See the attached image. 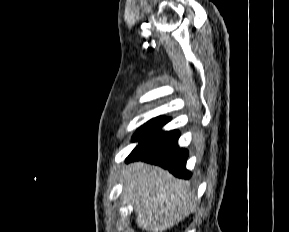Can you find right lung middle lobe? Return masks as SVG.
Listing matches in <instances>:
<instances>
[{
  "label": "right lung middle lobe",
  "instance_id": "right-lung-middle-lobe-1",
  "mask_svg": "<svg viewBox=\"0 0 289 232\" xmlns=\"http://www.w3.org/2000/svg\"><path fill=\"white\" fill-rule=\"evenodd\" d=\"M170 120V118H167L165 116H159L151 119L137 130V132L133 136V141H141L147 138L148 136L160 130V128Z\"/></svg>",
  "mask_w": 289,
  "mask_h": 232
}]
</instances>
